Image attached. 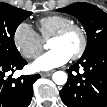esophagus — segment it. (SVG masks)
I'll list each match as a JSON object with an SVG mask.
<instances>
[{
  "label": "esophagus",
  "instance_id": "obj_1",
  "mask_svg": "<svg viewBox=\"0 0 107 107\" xmlns=\"http://www.w3.org/2000/svg\"><path fill=\"white\" fill-rule=\"evenodd\" d=\"M52 73H53V71H48V72H41L40 74L42 77H49L52 75Z\"/></svg>",
  "mask_w": 107,
  "mask_h": 107
}]
</instances>
